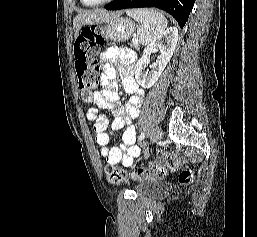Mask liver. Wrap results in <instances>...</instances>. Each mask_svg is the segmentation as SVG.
Listing matches in <instances>:
<instances>
[{
	"label": "liver",
	"mask_w": 257,
	"mask_h": 237,
	"mask_svg": "<svg viewBox=\"0 0 257 237\" xmlns=\"http://www.w3.org/2000/svg\"><path fill=\"white\" fill-rule=\"evenodd\" d=\"M122 12L108 13L102 10L88 11L78 14L73 21L75 38L78 37L79 31L83 25L102 23L121 15Z\"/></svg>",
	"instance_id": "6515ba94"
}]
</instances>
